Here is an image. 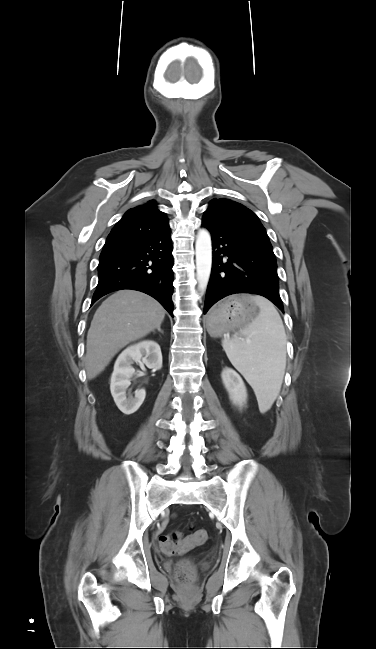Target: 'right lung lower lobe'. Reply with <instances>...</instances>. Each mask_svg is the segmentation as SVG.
<instances>
[{"instance_id": "98d812e1", "label": "right lung lower lobe", "mask_w": 376, "mask_h": 649, "mask_svg": "<svg viewBox=\"0 0 376 649\" xmlns=\"http://www.w3.org/2000/svg\"><path fill=\"white\" fill-rule=\"evenodd\" d=\"M173 256L170 229L122 245L103 248L92 303L120 289L144 292L173 317Z\"/></svg>"}]
</instances>
